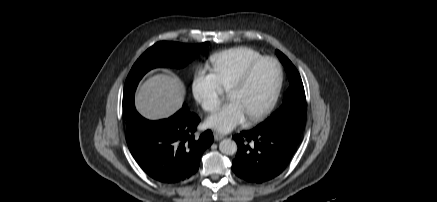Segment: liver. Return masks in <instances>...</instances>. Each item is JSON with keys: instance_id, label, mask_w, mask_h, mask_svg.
I'll return each instance as SVG.
<instances>
[{"instance_id": "obj_1", "label": "liver", "mask_w": 437, "mask_h": 202, "mask_svg": "<svg viewBox=\"0 0 437 202\" xmlns=\"http://www.w3.org/2000/svg\"><path fill=\"white\" fill-rule=\"evenodd\" d=\"M185 87L180 79L168 74H156L139 88L135 99L138 112L147 119H163L181 108Z\"/></svg>"}]
</instances>
